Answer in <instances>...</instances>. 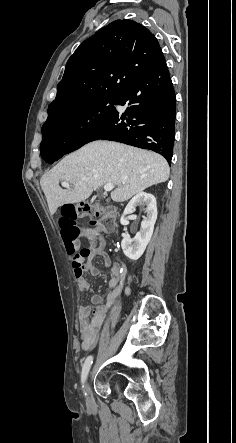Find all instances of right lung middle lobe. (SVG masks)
<instances>
[{"mask_svg": "<svg viewBox=\"0 0 236 443\" xmlns=\"http://www.w3.org/2000/svg\"><path fill=\"white\" fill-rule=\"evenodd\" d=\"M117 98L111 95L96 96L75 108L49 117L42 126L40 149L45 146H67L106 116Z\"/></svg>", "mask_w": 236, "mask_h": 443, "instance_id": "obj_1", "label": "right lung middle lobe"}]
</instances>
